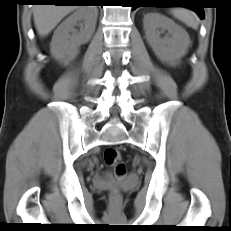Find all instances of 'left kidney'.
<instances>
[{
	"mask_svg": "<svg viewBox=\"0 0 231 231\" xmlns=\"http://www.w3.org/2000/svg\"><path fill=\"white\" fill-rule=\"evenodd\" d=\"M143 24L147 42L161 61L175 65L186 54L190 37L173 20L158 13H149L144 16ZM159 29L167 30L169 36L161 38Z\"/></svg>",
	"mask_w": 231,
	"mask_h": 231,
	"instance_id": "5707ae66",
	"label": "left kidney"
}]
</instances>
